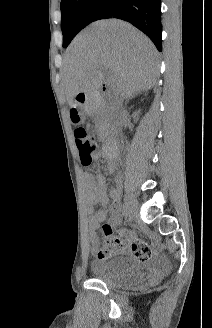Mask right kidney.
<instances>
[{
	"instance_id": "1",
	"label": "right kidney",
	"mask_w": 212,
	"mask_h": 328,
	"mask_svg": "<svg viewBox=\"0 0 212 328\" xmlns=\"http://www.w3.org/2000/svg\"><path fill=\"white\" fill-rule=\"evenodd\" d=\"M138 114H139V111L134 112L133 115H132L133 118L136 119V121L138 120Z\"/></svg>"
}]
</instances>
